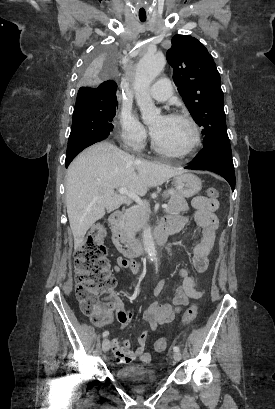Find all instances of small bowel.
Masks as SVG:
<instances>
[{
  "label": "small bowel",
  "instance_id": "small-bowel-1",
  "mask_svg": "<svg viewBox=\"0 0 275 409\" xmlns=\"http://www.w3.org/2000/svg\"><path fill=\"white\" fill-rule=\"evenodd\" d=\"M192 206L196 210L195 220L202 228V237L193 248V264L197 272L203 273L209 266V255L214 245L215 232L218 228V219L216 211L218 210V202L212 201L204 196H196L192 199ZM167 220H179L181 222L180 230L187 222L184 216L171 217ZM165 221V220H164ZM176 230V231H178ZM174 232V231H172ZM120 268H131L134 272L140 271V265L137 263H128L120 261L115 270L116 274L120 273ZM179 275L182 279L180 285L175 288V295L173 297V304H159L153 302L147 306L143 312V319L147 323L150 330H155L159 325L171 322L175 314L180 311L183 306H186L190 299L200 298L203 295L202 291L196 289L195 278L185 268L179 270ZM167 284L161 281L154 289V294H161ZM118 311L116 319L119 320L123 328H128L133 322V311H125V302H117ZM127 313V316H126ZM147 331H142L137 336L138 348L132 352L131 346L133 340L131 338H119L113 340V348L115 351V358L118 363L125 364L131 362L133 359L142 360L144 366H151L153 363L150 353L144 351ZM125 345V346H122Z\"/></svg>",
  "mask_w": 275,
  "mask_h": 409
}]
</instances>
